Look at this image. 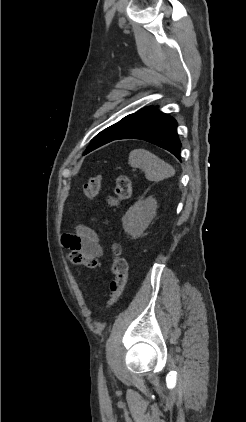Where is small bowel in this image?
I'll return each instance as SVG.
<instances>
[{"label":"small bowel","instance_id":"c3829d8e","mask_svg":"<svg viewBox=\"0 0 246 422\" xmlns=\"http://www.w3.org/2000/svg\"><path fill=\"white\" fill-rule=\"evenodd\" d=\"M62 243L71 251L77 250L96 259L103 255V249L95 231L85 225H79L75 233L64 234Z\"/></svg>","mask_w":246,"mask_h":422}]
</instances>
